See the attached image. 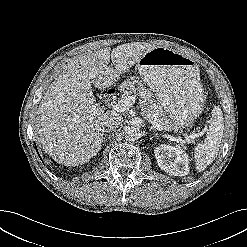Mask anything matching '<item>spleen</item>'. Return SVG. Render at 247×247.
<instances>
[{
  "mask_svg": "<svg viewBox=\"0 0 247 247\" xmlns=\"http://www.w3.org/2000/svg\"><path fill=\"white\" fill-rule=\"evenodd\" d=\"M223 130V113L220 108L215 107L212 111L207 140L195 147L194 156L197 171L201 172L205 170L214 161L221 146Z\"/></svg>",
  "mask_w": 247,
  "mask_h": 247,
  "instance_id": "obj_1",
  "label": "spleen"
}]
</instances>
